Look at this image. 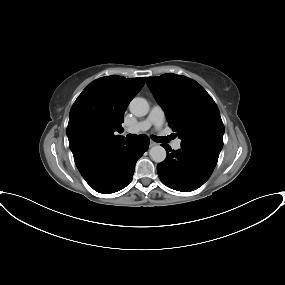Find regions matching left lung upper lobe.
<instances>
[{
	"label": "left lung upper lobe",
	"instance_id": "1",
	"mask_svg": "<svg viewBox=\"0 0 285 285\" xmlns=\"http://www.w3.org/2000/svg\"><path fill=\"white\" fill-rule=\"evenodd\" d=\"M146 82L182 146L220 154L224 125L217 105L201 85L172 73L147 77Z\"/></svg>",
	"mask_w": 285,
	"mask_h": 285
}]
</instances>
